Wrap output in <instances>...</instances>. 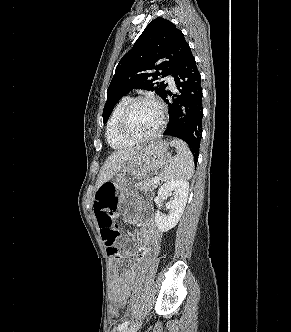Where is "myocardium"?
Returning a JSON list of instances; mask_svg holds the SVG:
<instances>
[{
	"mask_svg": "<svg viewBox=\"0 0 291 332\" xmlns=\"http://www.w3.org/2000/svg\"><path fill=\"white\" fill-rule=\"evenodd\" d=\"M140 102H151L157 106V108L159 110V115H160V123H159L158 128L155 130V132H153L152 134L147 135V136L139 137V136H134L128 132L127 120H128L131 110L134 108V106L136 104H138ZM165 126H166V109H165L164 104L157 98H155L153 96H147V95L132 98L128 102V104L125 106L124 110L122 111L121 116L119 118V123H118V129H119L120 135L125 140H128L132 143H141V142L150 141V140L157 138L164 131Z\"/></svg>",
	"mask_w": 291,
	"mask_h": 332,
	"instance_id": "f54148a6",
	"label": "myocardium"
}]
</instances>
